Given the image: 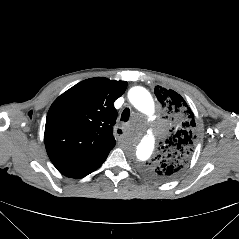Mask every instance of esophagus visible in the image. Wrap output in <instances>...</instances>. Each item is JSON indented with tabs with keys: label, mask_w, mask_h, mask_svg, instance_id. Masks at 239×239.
Wrapping results in <instances>:
<instances>
[{
	"label": "esophagus",
	"mask_w": 239,
	"mask_h": 239,
	"mask_svg": "<svg viewBox=\"0 0 239 239\" xmlns=\"http://www.w3.org/2000/svg\"><path fill=\"white\" fill-rule=\"evenodd\" d=\"M114 135H115L116 137H122V136L124 135V130H123V128H116V129L114 130Z\"/></svg>",
	"instance_id": "obj_1"
}]
</instances>
